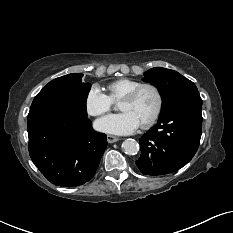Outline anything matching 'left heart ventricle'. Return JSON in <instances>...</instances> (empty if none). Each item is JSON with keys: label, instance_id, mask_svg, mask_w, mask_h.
I'll return each mask as SVG.
<instances>
[{"label": "left heart ventricle", "instance_id": "obj_1", "mask_svg": "<svg viewBox=\"0 0 233 233\" xmlns=\"http://www.w3.org/2000/svg\"><path fill=\"white\" fill-rule=\"evenodd\" d=\"M157 106V96L153 89L144 88L133 101H121L119 108L123 112L132 113L141 124L154 113Z\"/></svg>", "mask_w": 233, "mask_h": 233}]
</instances>
